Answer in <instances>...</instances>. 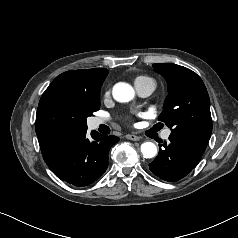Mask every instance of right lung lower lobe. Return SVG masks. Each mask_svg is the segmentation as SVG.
Listing matches in <instances>:
<instances>
[{
	"label": "right lung lower lobe",
	"instance_id": "obj_1",
	"mask_svg": "<svg viewBox=\"0 0 238 238\" xmlns=\"http://www.w3.org/2000/svg\"><path fill=\"white\" fill-rule=\"evenodd\" d=\"M87 127L73 129L53 143L41 147L48 167L61 180L75 186L96 181L108 167L110 148L119 141L95 131L86 137Z\"/></svg>",
	"mask_w": 238,
	"mask_h": 238
}]
</instances>
